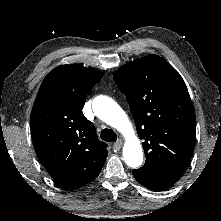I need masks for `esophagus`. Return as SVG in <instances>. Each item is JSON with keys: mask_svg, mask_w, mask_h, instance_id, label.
Instances as JSON below:
<instances>
[{"mask_svg": "<svg viewBox=\"0 0 221 221\" xmlns=\"http://www.w3.org/2000/svg\"><path fill=\"white\" fill-rule=\"evenodd\" d=\"M123 141L121 139L117 140L114 144H113V150L119 151L122 147Z\"/></svg>", "mask_w": 221, "mask_h": 221, "instance_id": "1", "label": "esophagus"}]
</instances>
